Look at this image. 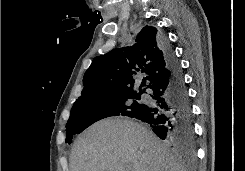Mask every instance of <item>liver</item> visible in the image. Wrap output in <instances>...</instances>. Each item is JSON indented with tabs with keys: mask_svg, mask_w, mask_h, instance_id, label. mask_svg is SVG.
Segmentation results:
<instances>
[{
	"mask_svg": "<svg viewBox=\"0 0 245 171\" xmlns=\"http://www.w3.org/2000/svg\"><path fill=\"white\" fill-rule=\"evenodd\" d=\"M71 171H185L158 138L129 119L101 120L76 140Z\"/></svg>",
	"mask_w": 245,
	"mask_h": 171,
	"instance_id": "6515ba94",
	"label": "liver"
}]
</instances>
